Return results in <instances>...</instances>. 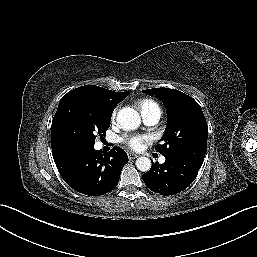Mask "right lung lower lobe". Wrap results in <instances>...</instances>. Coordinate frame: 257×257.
Masks as SVG:
<instances>
[{
    "label": "right lung lower lobe",
    "instance_id": "obj_1",
    "mask_svg": "<svg viewBox=\"0 0 257 257\" xmlns=\"http://www.w3.org/2000/svg\"><path fill=\"white\" fill-rule=\"evenodd\" d=\"M57 169L74 190L88 196H100L118 184L120 172L128 162L125 151L114 147L107 154L94 145L70 144L52 149Z\"/></svg>",
    "mask_w": 257,
    "mask_h": 257
}]
</instances>
